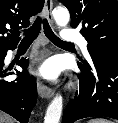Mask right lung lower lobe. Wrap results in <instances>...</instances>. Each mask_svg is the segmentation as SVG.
I'll return each mask as SVG.
<instances>
[{"label":"right lung lower lobe","instance_id":"right-lung-lower-lobe-1","mask_svg":"<svg viewBox=\"0 0 118 123\" xmlns=\"http://www.w3.org/2000/svg\"><path fill=\"white\" fill-rule=\"evenodd\" d=\"M15 48L0 51V110L8 113L20 123H27L37 100L36 80L27 72L29 60L25 58L20 60L19 66L23 68V71H17L19 77L16 80H4V77L14 74L3 67L7 51Z\"/></svg>","mask_w":118,"mask_h":123}]
</instances>
